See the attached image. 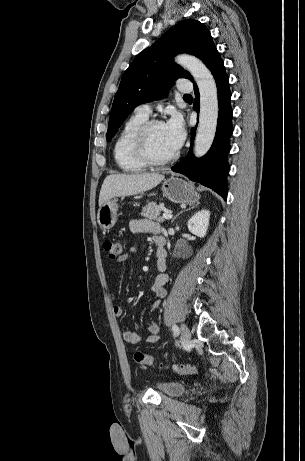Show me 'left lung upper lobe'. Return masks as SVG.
I'll return each mask as SVG.
<instances>
[{
    "label": "left lung upper lobe",
    "instance_id": "1",
    "mask_svg": "<svg viewBox=\"0 0 305 461\" xmlns=\"http://www.w3.org/2000/svg\"><path fill=\"white\" fill-rule=\"evenodd\" d=\"M183 52L198 57L208 68L219 54L201 22L185 19L172 27L138 54L125 71L112 105L107 141L135 107L164 97L178 78L194 81L189 72L173 62V56Z\"/></svg>",
    "mask_w": 305,
    "mask_h": 461
}]
</instances>
